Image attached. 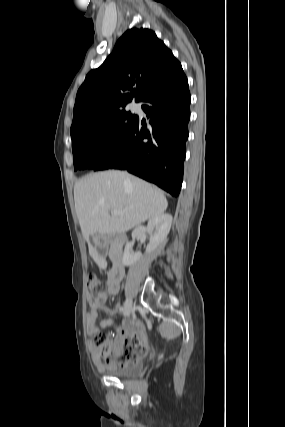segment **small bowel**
Segmentation results:
<instances>
[{
    "label": "small bowel",
    "instance_id": "c3829d8e",
    "mask_svg": "<svg viewBox=\"0 0 285 427\" xmlns=\"http://www.w3.org/2000/svg\"><path fill=\"white\" fill-rule=\"evenodd\" d=\"M119 282L120 279L112 280L108 278L107 290L104 293L95 297L92 295L88 296L87 300L89 311L87 314V331L91 336L101 333L102 329L117 325L118 321L112 317L99 319V311L113 315L118 310H120L119 306L109 308L106 305L109 296L116 295L118 293ZM133 335H136L140 341L142 340L141 327L139 324L134 321L121 322V325L117 327V335L112 343V351L116 356H120L123 346L127 344V340ZM90 347L94 363L98 368L103 369L107 366H123L127 364L121 363L119 361H112L107 358L101 360L99 356L100 348L96 345V343L92 342Z\"/></svg>",
    "mask_w": 285,
    "mask_h": 427
}]
</instances>
